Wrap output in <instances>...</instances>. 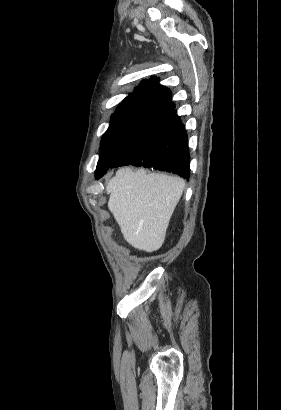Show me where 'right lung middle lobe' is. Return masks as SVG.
Instances as JSON below:
<instances>
[{
  "label": "right lung middle lobe",
  "mask_w": 281,
  "mask_h": 410,
  "mask_svg": "<svg viewBox=\"0 0 281 410\" xmlns=\"http://www.w3.org/2000/svg\"><path fill=\"white\" fill-rule=\"evenodd\" d=\"M170 111L145 105L118 106L100 143L96 176L111 168L142 136Z\"/></svg>",
  "instance_id": "obj_1"
}]
</instances>
